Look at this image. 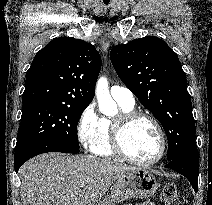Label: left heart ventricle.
Here are the masks:
<instances>
[{
	"label": "left heart ventricle",
	"instance_id": "obj_1",
	"mask_svg": "<svg viewBox=\"0 0 212 205\" xmlns=\"http://www.w3.org/2000/svg\"><path fill=\"white\" fill-rule=\"evenodd\" d=\"M159 145L155 127L145 118L134 120L124 131V149L135 159L148 160L155 157L159 152Z\"/></svg>",
	"mask_w": 212,
	"mask_h": 205
}]
</instances>
